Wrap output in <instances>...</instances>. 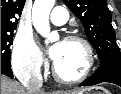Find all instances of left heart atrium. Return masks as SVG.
Here are the masks:
<instances>
[{
	"label": "left heart atrium",
	"mask_w": 121,
	"mask_h": 94,
	"mask_svg": "<svg viewBox=\"0 0 121 94\" xmlns=\"http://www.w3.org/2000/svg\"><path fill=\"white\" fill-rule=\"evenodd\" d=\"M61 47H62V42H59L50 49V57L54 61L58 58L61 51Z\"/></svg>",
	"instance_id": "1"
}]
</instances>
